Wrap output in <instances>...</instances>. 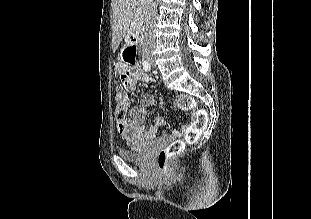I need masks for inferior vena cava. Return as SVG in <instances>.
Returning a JSON list of instances; mask_svg holds the SVG:
<instances>
[{
    "instance_id": "inferior-vena-cava-1",
    "label": "inferior vena cava",
    "mask_w": 311,
    "mask_h": 219,
    "mask_svg": "<svg viewBox=\"0 0 311 219\" xmlns=\"http://www.w3.org/2000/svg\"><path fill=\"white\" fill-rule=\"evenodd\" d=\"M145 14L146 33L144 37L143 51H152L155 48L154 28L156 24L157 9L153 0H141Z\"/></svg>"
}]
</instances>
